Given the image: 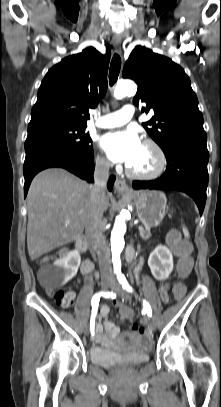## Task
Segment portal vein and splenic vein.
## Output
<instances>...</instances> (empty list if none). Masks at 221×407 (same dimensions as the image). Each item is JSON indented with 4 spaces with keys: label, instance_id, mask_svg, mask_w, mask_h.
<instances>
[{
    "label": "portal vein and splenic vein",
    "instance_id": "obj_1",
    "mask_svg": "<svg viewBox=\"0 0 221 407\" xmlns=\"http://www.w3.org/2000/svg\"><path fill=\"white\" fill-rule=\"evenodd\" d=\"M69 224V222H66V225H68ZM139 231H143L144 230V228L142 227V226H140L139 228Z\"/></svg>",
    "mask_w": 221,
    "mask_h": 407
}]
</instances>
